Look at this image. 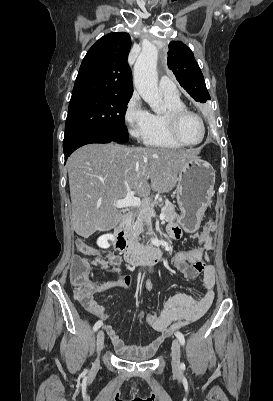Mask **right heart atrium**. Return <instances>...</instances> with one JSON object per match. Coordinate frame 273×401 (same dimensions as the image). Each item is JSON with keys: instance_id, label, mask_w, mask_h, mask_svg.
I'll return each mask as SVG.
<instances>
[{"instance_id": "1", "label": "right heart atrium", "mask_w": 273, "mask_h": 401, "mask_svg": "<svg viewBox=\"0 0 273 401\" xmlns=\"http://www.w3.org/2000/svg\"><path fill=\"white\" fill-rule=\"evenodd\" d=\"M151 113L143 105L141 98L134 94L129 99L125 110V122L130 135L137 141L145 139L150 123Z\"/></svg>"}]
</instances>
